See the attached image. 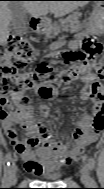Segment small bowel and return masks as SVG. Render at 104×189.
I'll list each match as a JSON object with an SVG mask.
<instances>
[{
  "instance_id": "c3829d8e",
  "label": "small bowel",
  "mask_w": 104,
  "mask_h": 189,
  "mask_svg": "<svg viewBox=\"0 0 104 189\" xmlns=\"http://www.w3.org/2000/svg\"><path fill=\"white\" fill-rule=\"evenodd\" d=\"M82 80L84 85L80 97L92 101L94 108L91 114L84 115L72 129L69 139L41 134L35 128V124L40 121L34 115L27 98L20 97L21 103L14 110L8 99L0 100L3 130L15 152L21 157L25 169L31 174L40 176L48 170H60L80 158L85 148L98 139L104 127L102 88L94 75H86ZM23 99L27 101L23 102ZM42 112L47 119H53V111L43 108ZM18 127L26 133L24 140L19 137Z\"/></svg>"
}]
</instances>
